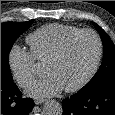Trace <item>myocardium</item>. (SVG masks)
Here are the masks:
<instances>
[{"label": "myocardium", "instance_id": "f54148a6", "mask_svg": "<svg viewBox=\"0 0 115 115\" xmlns=\"http://www.w3.org/2000/svg\"><path fill=\"white\" fill-rule=\"evenodd\" d=\"M82 35H92L96 39L97 56H96V59H95L92 69L86 75V77L84 79H82L79 83H77L71 87L64 88V90L68 93L77 92V91L83 89L86 85H88L91 82V80L97 74V72L100 68L101 62H102V57H103V42H102V39L99 36V34L96 31L91 30V29H82V30L70 35L60 44V46L56 49V51L45 62V65H47V64L54 63V62L60 60L63 57V55L65 54V52L67 51V49L69 48V46L71 45V43Z\"/></svg>", "mask_w": 115, "mask_h": 115}]
</instances>
